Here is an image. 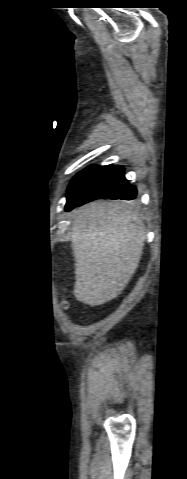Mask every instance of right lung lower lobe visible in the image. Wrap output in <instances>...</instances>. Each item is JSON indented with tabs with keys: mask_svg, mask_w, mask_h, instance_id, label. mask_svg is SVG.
Returning a JSON list of instances; mask_svg holds the SVG:
<instances>
[{
	"mask_svg": "<svg viewBox=\"0 0 187 479\" xmlns=\"http://www.w3.org/2000/svg\"><path fill=\"white\" fill-rule=\"evenodd\" d=\"M137 190L124 177L121 166H100L83 175L68 191L66 211L90 201L106 199H135Z\"/></svg>",
	"mask_w": 187,
	"mask_h": 479,
	"instance_id": "obj_1",
	"label": "right lung lower lobe"
}]
</instances>
